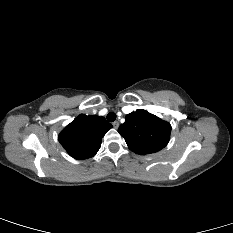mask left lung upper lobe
I'll list each match as a JSON object with an SVG mask.
<instances>
[{"mask_svg":"<svg viewBox=\"0 0 233 233\" xmlns=\"http://www.w3.org/2000/svg\"><path fill=\"white\" fill-rule=\"evenodd\" d=\"M125 119L118 132L131 151L140 155L151 154L168 144L170 123L142 109L126 115Z\"/></svg>","mask_w":233,"mask_h":233,"instance_id":"left-lung-upper-lobe-1","label":"left lung upper lobe"}]
</instances>
